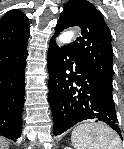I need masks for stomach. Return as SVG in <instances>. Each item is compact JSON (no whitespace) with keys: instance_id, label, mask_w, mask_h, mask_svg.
Returning <instances> with one entry per match:
<instances>
[{"instance_id":"1","label":"stomach","mask_w":124,"mask_h":149,"mask_svg":"<svg viewBox=\"0 0 124 149\" xmlns=\"http://www.w3.org/2000/svg\"><path fill=\"white\" fill-rule=\"evenodd\" d=\"M92 127H102L105 128L104 125H100V124H90ZM112 134L114 135L113 131H111Z\"/></svg>"}]
</instances>
